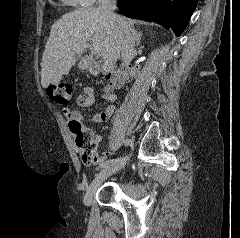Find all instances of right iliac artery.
<instances>
[{"label":"right iliac artery","mask_w":240,"mask_h":238,"mask_svg":"<svg viewBox=\"0 0 240 238\" xmlns=\"http://www.w3.org/2000/svg\"><path fill=\"white\" fill-rule=\"evenodd\" d=\"M123 145H125L126 147H129L130 146V144L133 146L134 144H133V142L132 141H126V140H123L122 142H121ZM130 147L131 149V151L133 150L132 148L133 147ZM129 152L130 154L132 153V152ZM127 154L128 156L130 155V154ZM126 157H120V158H116V159H112V160H109V161H106V162H103L101 165H100V168H104V167H108V166H110V165H113V164H115V163H117V162H120V161H122V160H124Z\"/></svg>","instance_id":"1"}]
</instances>
